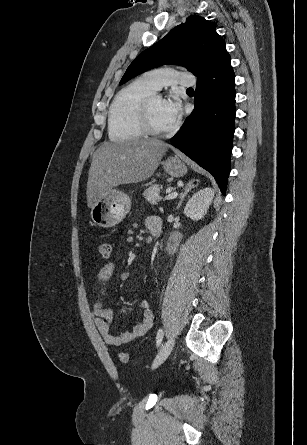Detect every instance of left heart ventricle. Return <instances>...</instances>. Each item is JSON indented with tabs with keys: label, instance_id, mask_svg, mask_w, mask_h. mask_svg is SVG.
<instances>
[{
	"label": "left heart ventricle",
	"instance_id": "b2bd125f",
	"mask_svg": "<svg viewBox=\"0 0 307 445\" xmlns=\"http://www.w3.org/2000/svg\"><path fill=\"white\" fill-rule=\"evenodd\" d=\"M151 119L154 126L160 130L170 129L175 124L167 118L162 98H156L152 103Z\"/></svg>",
	"mask_w": 307,
	"mask_h": 445
}]
</instances>
